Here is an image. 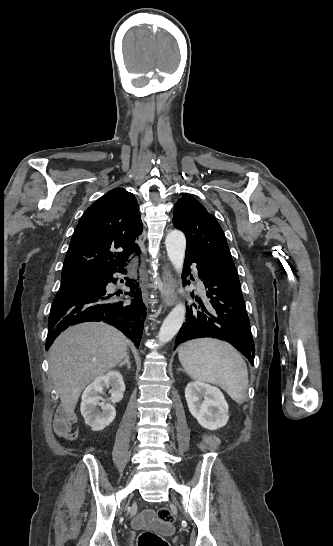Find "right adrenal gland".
<instances>
[{"instance_id": "right-adrenal-gland-1", "label": "right adrenal gland", "mask_w": 333, "mask_h": 546, "mask_svg": "<svg viewBox=\"0 0 333 546\" xmlns=\"http://www.w3.org/2000/svg\"><path fill=\"white\" fill-rule=\"evenodd\" d=\"M125 364H127L128 369L131 368V364H130V361H129L128 352L125 353L124 360L118 365V367H121V366H123V365H125Z\"/></svg>"}]
</instances>
